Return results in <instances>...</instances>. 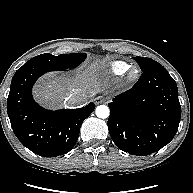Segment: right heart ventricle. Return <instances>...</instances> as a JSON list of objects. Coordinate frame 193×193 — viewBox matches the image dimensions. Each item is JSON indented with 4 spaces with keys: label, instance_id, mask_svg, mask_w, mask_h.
Instances as JSON below:
<instances>
[{
    "label": "right heart ventricle",
    "instance_id": "obj_1",
    "mask_svg": "<svg viewBox=\"0 0 193 193\" xmlns=\"http://www.w3.org/2000/svg\"><path fill=\"white\" fill-rule=\"evenodd\" d=\"M129 69V64L124 61H114L110 65V72L113 75H123Z\"/></svg>",
    "mask_w": 193,
    "mask_h": 193
}]
</instances>
